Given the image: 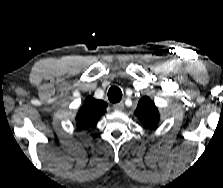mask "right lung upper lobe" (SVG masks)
<instances>
[{"label":"right lung upper lobe","instance_id":"1","mask_svg":"<svg viewBox=\"0 0 223 188\" xmlns=\"http://www.w3.org/2000/svg\"><path fill=\"white\" fill-rule=\"evenodd\" d=\"M106 107L107 104L104 101L88 96L76 116L77 125L83 129L95 126L106 112Z\"/></svg>","mask_w":223,"mask_h":188}]
</instances>
